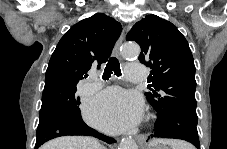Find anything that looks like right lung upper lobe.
Segmentation results:
<instances>
[{
    "instance_id": "cb5924a9",
    "label": "right lung upper lobe",
    "mask_w": 227,
    "mask_h": 149,
    "mask_svg": "<svg viewBox=\"0 0 227 149\" xmlns=\"http://www.w3.org/2000/svg\"><path fill=\"white\" fill-rule=\"evenodd\" d=\"M122 27L114 18L97 13L73 25L60 39L45 75V87L76 86L92 67L107 61Z\"/></svg>"
}]
</instances>
